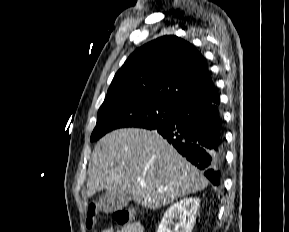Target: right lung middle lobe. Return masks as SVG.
Listing matches in <instances>:
<instances>
[{
	"label": "right lung middle lobe",
	"mask_w": 289,
	"mask_h": 232,
	"mask_svg": "<svg viewBox=\"0 0 289 232\" xmlns=\"http://www.w3.org/2000/svg\"><path fill=\"white\" fill-rule=\"evenodd\" d=\"M177 109L142 96L107 98L98 111L97 124L90 140L96 141L117 128H158L172 121Z\"/></svg>",
	"instance_id": "1"
}]
</instances>
